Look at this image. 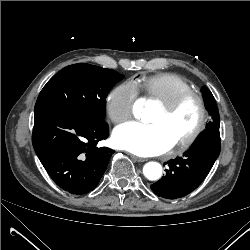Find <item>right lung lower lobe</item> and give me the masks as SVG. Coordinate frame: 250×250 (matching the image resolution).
Listing matches in <instances>:
<instances>
[{"mask_svg":"<svg viewBox=\"0 0 250 250\" xmlns=\"http://www.w3.org/2000/svg\"><path fill=\"white\" fill-rule=\"evenodd\" d=\"M109 134L104 120L57 110L35 112L32 143L54 182L71 194L93 190L114 150L97 147Z\"/></svg>","mask_w":250,"mask_h":250,"instance_id":"obj_1","label":"right lung lower lobe"}]
</instances>
